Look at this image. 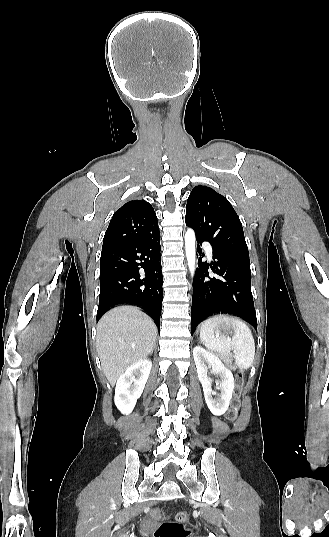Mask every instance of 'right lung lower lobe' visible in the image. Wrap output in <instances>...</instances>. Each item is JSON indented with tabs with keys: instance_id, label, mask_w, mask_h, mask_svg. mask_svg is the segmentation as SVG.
Instances as JSON below:
<instances>
[{
	"instance_id": "obj_1",
	"label": "right lung lower lobe",
	"mask_w": 329,
	"mask_h": 537,
	"mask_svg": "<svg viewBox=\"0 0 329 537\" xmlns=\"http://www.w3.org/2000/svg\"><path fill=\"white\" fill-rule=\"evenodd\" d=\"M160 232L129 247L101 253L97 320L112 306H140L160 327L162 272Z\"/></svg>"
}]
</instances>
